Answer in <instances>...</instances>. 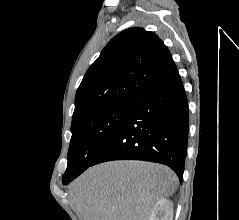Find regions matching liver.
Returning a JSON list of instances; mask_svg holds the SVG:
<instances>
[{"instance_id": "6515ba94", "label": "liver", "mask_w": 239, "mask_h": 220, "mask_svg": "<svg viewBox=\"0 0 239 220\" xmlns=\"http://www.w3.org/2000/svg\"><path fill=\"white\" fill-rule=\"evenodd\" d=\"M178 178L160 164L120 160L86 170L70 187L80 220H149L160 199L172 196Z\"/></svg>"}]
</instances>
